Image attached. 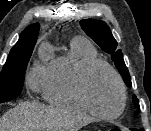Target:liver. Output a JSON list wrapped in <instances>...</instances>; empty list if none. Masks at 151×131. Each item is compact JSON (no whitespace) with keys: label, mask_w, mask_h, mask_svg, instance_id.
<instances>
[{"label":"liver","mask_w":151,"mask_h":131,"mask_svg":"<svg viewBox=\"0 0 151 131\" xmlns=\"http://www.w3.org/2000/svg\"><path fill=\"white\" fill-rule=\"evenodd\" d=\"M93 118L70 107L20 102L0 118V131H78Z\"/></svg>","instance_id":"obj_1"}]
</instances>
